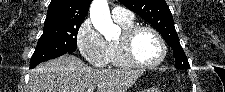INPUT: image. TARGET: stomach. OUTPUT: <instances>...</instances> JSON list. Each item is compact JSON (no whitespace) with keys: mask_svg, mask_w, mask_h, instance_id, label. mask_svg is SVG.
<instances>
[{"mask_svg":"<svg viewBox=\"0 0 225 92\" xmlns=\"http://www.w3.org/2000/svg\"><path fill=\"white\" fill-rule=\"evenodd\" d=\"M146 92H159L157 89H148Z\"/></svg>","mask_w":225,"mask_h":92,"instance_id":"0dacf381","label":"stomach"}]
</instances>
